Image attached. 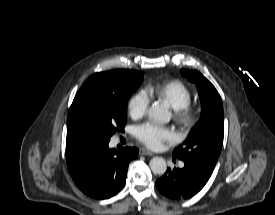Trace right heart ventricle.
Listing matches in <instances>:
<instances>
[{"label": "right heart ventricle", "instance_id": "e07e8e85", "mask_svg": "<svg viewBox=\"0 0 275 215\" xmlns=\"http://www.w3.org/2000/svg\"><path fill=\"white\" fill-rule=\"evenodd\" d=\"M147 92L151 96L165 101L175 110L188 106L192 99L190 89L183 82L176 79L150 85Z\"/></svg>", "mask_w": 275, "mask_h": 215}]
</instances>
